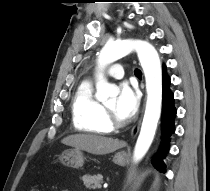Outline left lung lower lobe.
<instances>
[{"instance_id":"1","label":"left lung lower lobe","mask_w":210,"mask_h":191,"mask_svg":"<svg viewBox=\"0 0 210 191\" xmlns=\"http://www.w3.org/2000/svg\"><path fill=\"white\" fill-rule=\"evenodd\" d=\"M162 142L158 153L152 160L153 166L160 172L165 173V164L163 159L169 151L170 136L174 133V119L176 116V108L174 106V95L170 90V77L166 73V67L163 66L162 72Z\"/></svg>"}]
</instances>
